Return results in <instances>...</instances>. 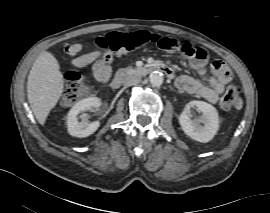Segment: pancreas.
<instances>
[{"mask_svg": "<svg viewBox=\"0 0 270 213\" xmlns=\"http://www.w3.org/2000/svg\"><path fill=\"white\" fill-rule=\"evenodd\" d=\"M138 68H133L131 66L127 67V68H123V69H120L118 71V74L120 75H127V74H135L138 72Z\"/></svg>", "mask_w": 270, "mask_h": 213, "instance_id": "1", "label": "pancreas"}]
</instances>
